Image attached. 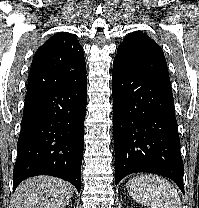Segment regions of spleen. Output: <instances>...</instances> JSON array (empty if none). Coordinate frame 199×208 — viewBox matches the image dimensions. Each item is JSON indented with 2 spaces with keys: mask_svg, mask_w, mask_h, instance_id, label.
Here are the masks:
<instances>
[{
  "mask_svg": "<svg viewBox=\"0 0 199 208\" xmlns=\"http://www.w3.org/2000/svg\"><path fill=\"white\" fill-rule=\"evenodd\" d=\"M129 195L148 208H181L177 190L157 175H140L126 184Z\"/></svg>",
  "mask_w": 199,
  "mask_h": 208,
  "instance_id": "3e777b00",
  "label": "spleen"
}]
</instances>
